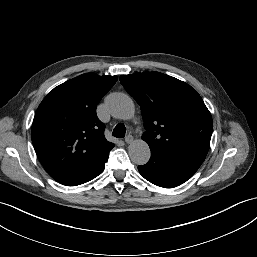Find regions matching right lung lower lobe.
I'll return each instance as SVG.
<instances>
[{
    "instance_id": "98d812e1",
    "label": "right lung lower lobe",
    "mask_w": 257,
    "mask_h": 257,
    "mask_svg": "<svg viewBox=\"0 0 257 257\" xmlns=\"http://www.w3.org/2000/svg\"><path fill=\"white\" fill-rule=\"evenodd\" d=\"M107 159L98 168L92 170L91 172H89L87 175H85L81 179L66 181V182H62L61 184L67 185V186H76V185H80V184H83V183H86V182L92 180L93 178L97 177L99 174L102 173V171L104 169V164L106 163Z\"/></svg>"
}]
</instances>
